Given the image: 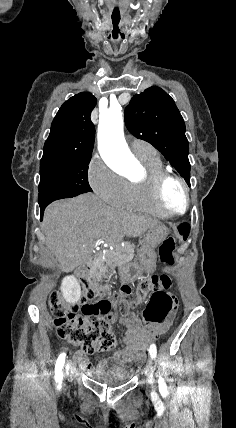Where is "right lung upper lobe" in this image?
I'll return each mask as SVG.
<instances>
[{
    "instance_id": "obj_1",
    "label": "right lung upper lobe",
    "mask_w": 236,
    "mask_h": 428,
    "mask_svg": "<svg viewBox=\"0 0 236 428\" xmlns=\"http://www.w3.org/2000/svg\"><path fill=\"white\" fill-rule=\"evenodd\" d=\"M97 99L89 92H82L67 100L57 112L43 156H91L95 128L90 114Z\"/></svg>"
}]
</instances>
